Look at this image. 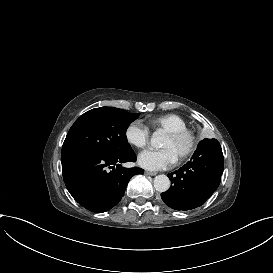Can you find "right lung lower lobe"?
Returning a JSON list of instances; mask_svg holds the SVG:
<instances>
[{
  "label": "right lung lower lobe",
  "instance_id": "98d812e1",
  "mask_svg": "<svg viewBox=\"0 0 273 273\" xmlns=\"http://www.w3.org/2000/svg\"><path fill=\"white\" fill-rule=\"evenodd\" d=\"M134 161L136 155L132 149L119 155L73 154L62 159L63 179L81 206L95 213L106 212L121 200L131 177L144 173L139 167L123 168L120 165Z\"/></svg>",
  "mask_w": 273,
  "mask_h": 273
}]
</instances>
